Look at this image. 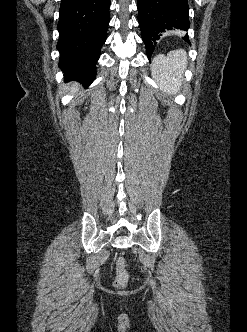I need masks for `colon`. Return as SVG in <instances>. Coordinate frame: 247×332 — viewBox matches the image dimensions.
I'll return each instance as SVG.
<instances>
[{"label":"colon","mask_w":247,"mask_h":332,"mask_svg":"<svg viewBox=\"0 0 247 332\" xmlns=\"http://www.w3.org/2000/svg\"><path fill=\"white\" fill-rule=\"evenodd\" d=\"M116 277L114 280V287L117 289H124L127 286L129 275L126 268V261L124 258H118L115 264Z\"/></svg>","instance_id":"colon-1"}]
</instances>
